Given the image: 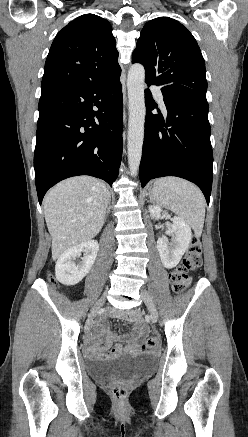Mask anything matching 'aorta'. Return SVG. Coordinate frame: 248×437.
<instances>
[{"instance_id": "762f6f07", "label": "aorta", "mask_w": 248, "mask_h": 437, "mask_svg": "<svg viewBox=\"0 0 248 437\" xmlns=\"http://www.w3.org/2000/svg\"><path fill=\"white\" fill-rule=\"evenodd\" d=\"M145 70L141 64H133L128 72L127 88L129 99L128 121V163L130 173H138L144 140L145 98H144Z\"/></svg>"}]
</instances>
